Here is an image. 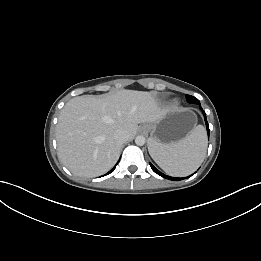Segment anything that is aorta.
I'll return each instance as SVG.
<instances>
[{
  "label": "aorta",
  "mask_w": 261,
  "mask_h": 261,
  "mask_svg": "<svg viewBox=\"0 0 261 261\" xmlns=\"http://www.w3.org/2000/svg\"><path fill=\"white\" fill-rule=\"evenodd\" d=\"M145 142H146V139H145L144 136L139 135V136H137V137L135 138V143H136V145H138V146H143V145L145 144Z\"/></svg>",
  "instance_id": "obj_1"
}]
</instances>
